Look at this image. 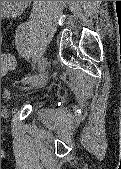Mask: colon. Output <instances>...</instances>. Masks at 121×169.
<instances>
[{
	"label": "colon",
	"instance_id": "obj_1",
	"mask_svg": "<svg viewBox=\"0 0 121 169\" xmlns=\"http://www.w3.org/2000/svg\"><path fill=\"white\" fill-rule=\"evenodd\" d=\"M16 61L13 55L3 54L1 57V73L4 74L15 68Z\"/></svg>",
	"mask_w": 121,
	"mask_h": 169
}]
</instances>
